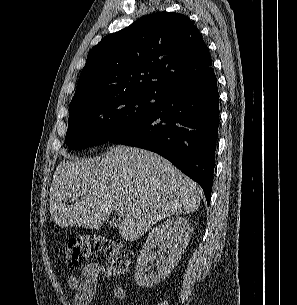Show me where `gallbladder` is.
Listing matches in <instances>:
<instances>
[{
  "mask_svg": "<svg viewBox=\"0 0 297 305\" xmlns=\"http://www.w3.org/2000/svg\"><path fill=\"white\" fill-rule=\"evenodd\" d=\"M111 226H112V227H118V226H119V223H118V222H111Z\"/></svg>",
  "mask_w": 297,
  "mask_h": 305,
  "instance_id": "1",
  "label": "gallbladder"
}]
</instances>
